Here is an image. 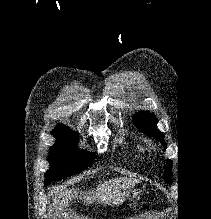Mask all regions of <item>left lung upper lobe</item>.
Masks as SVG:
<instances>
[{"mask_svg":"<svg viewBox=\"0 0 211 219\" xmlns=\"http://www.w3.org/2000/svg\"><path fill=\"white\" fill-rule=\"evenodd\" d=\"M133 121L135 125L145 134L155 137L158 141L163 143L166 148V143L163 139V133L156 129L157 119L154 114L147 111H141L134 115ZM172 179V162L168 160L167 167L164 173V180L166 183H171Z\"/></svg>","mask_w":211,"mask_h":219,"instance_id":"1","label":"left lung upper lobe"}]
</instances>
